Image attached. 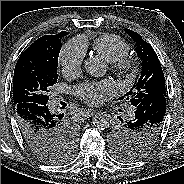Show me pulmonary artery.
Wrapping results in <instances>:
<instances>
[{
	"label": "pulmonary artery",
	"mask_w": 184,
	"mask_h": 184,
	"mask_svg": "<svg viewBox=\"0 0 184 184\" xmlns=\"http://www.w3.org/2000/svg\"><path fill=\"white\" fill-rule=\"evenodd\" d=\"M133 111H134V108H133V107H131V108H130V112L132 113Z\"/></svg>",
	"instance_id": "1"
}]
</instances>
